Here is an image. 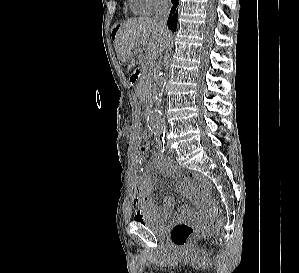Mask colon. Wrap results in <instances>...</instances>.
I'll return each mask as SVG.
<instances>
[{
	"label": "colon",
	"mask_w": 299,
	"mask_h": 273,
	"mask_svg": "<svg viewBox=\"0 0 299 273\" xmlns=\"http://www.w3.org/2000/svg\"><path fill=\"white\" fill-rule=\"evenodd\" d=\"M144 149H150L151 140L148 133L142 135ZM203 187H205L202 180H199ZM208 212L211 219L204 223L191 224L187 222H179L175 224L170 232L171 241L179 247L188 245L193 239L203 236L211 232L219 225L217 216L219 214V207L214 199L207 201Z\"/></svg>",
	"instance_id": "colon-1"
}]
</instances>
